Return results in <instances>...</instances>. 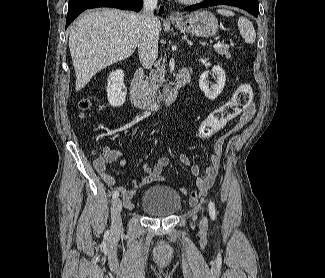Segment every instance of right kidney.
<instances>
[{
  "label": "right kidney",
  "mask_w": 325,
  "mask_h": 278,
  "mask_svg": "<svg viewBox=\"0 0 325 278\" xmlns=\"http://www.w3.org/2000/svg\"><path fill=\"white\" fill-rule=\"evenodd\" d=\"M106 91L108 102L111 106L119 107L125 103L127 88L124 84V72L122 70L110 73Z\"/></svg>",
  "instance_id": "obj_1"
}]
</instances>
